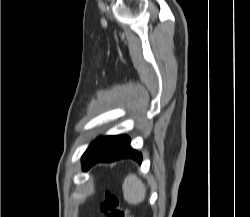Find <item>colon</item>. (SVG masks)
Returning <instances> with one entry per match:
<instances>
[{
    "label": "colon",
    "instance_id": "obj_1",
    "mask_svg": "<svg viewBox=\"0 0 250 217\" xmlns=\"http://www.w3.org/2000/svg\"><path fill=\"white\" fill-rule=\"evenodd\" d=\"M104 217H130L129 211L123 206L120 198L111 191H106L100 204Z\"/></svg>",
    "mask_w": 250,
    "mask_h": 217
}]
</instances>
